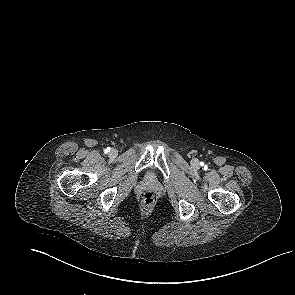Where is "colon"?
Returning a JSON list of instances; mask_svg holds the SVG:
<instances>
[{
    "mask_svg": "<svg viewBox=\"0 0 295 295\" xmlns=\"http://www.w3.org/2000/svg\"><path fill=\"white\" fill-rule=\"evenodd\" d=\"M143 202L146 205H150L154 202V194L150 191H147L143 194Z\"/></svg>",
    "mask_w": 295,
    "mask_h": 295,
    "instance_id": "5ec220e1",
    "label": "colon"
}]
</instances>
